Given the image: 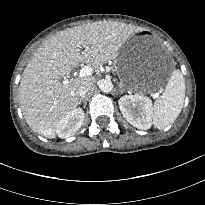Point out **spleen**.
Instances as JSON below:
<instances>
[{
    "label": "spleen",
    "instance_id": "1",
    "mask_svg": "<svg viewBox=\"0 0 205 205\" xmlns=\"http://www.w3.org/2000/svg\"><path fill=\"white\" fill-rule=\"evenodd\" d=\"M185 99V80L179 69H174L169 81L152 108L153 125L163 130L172 124L183 108Z\"/></svg>",
    "mask_w": 205,
    "mask_h": 205
}]
</instances>
